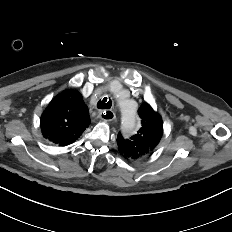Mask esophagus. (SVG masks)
I'll return each instance as SVG.
<instances>
[{
	"label": "esophagus",
	"mask_w": 232,
	"mask_h": 232,
	"mask_svg": "<svg viewBox=\"0 0 232 232\" xmlns=\"http://www.w3.org/2000/svg\"><path fill=\"white\" fill-rule=\"evenodd\" d=\"M115 117V113L112 110H103L99 112V118L104 121H112Z\"/></svg>",
	"instance_id": "esophagus-1"
}]
</instances>
